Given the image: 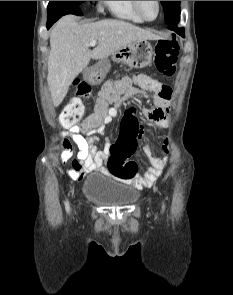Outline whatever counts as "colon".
Instances as JSON below:
<instances>
[{"mask_svg": "<svg viewBox=\"0 0 233 295\" xmlns=\"http://www.w3.org/2000/svg\"><path fill=\"white\" fill-rule=\"evenodd\" d=\"M154 66L165 76H172L176 71L179 44L173 35L161 39L155 44ZM136 86H135V85ZM140 90L152 92L162 98L170 99L172 88L150 77L139 76L135 80L123 79L106 83L100 91L99 99L93 113L83 121L85 130H92L101 125L106 113L108 102L115 101L122 93H137ZM77 96L72 98L62 111L61 119L67 125L78 122L84 114L83 100L91 96V86L85 81H76ZM141 130L135 116L127 112L122 119L120 136L111 147L107 163L108 171L116 178L129 180L136 176L138 166L129 158L136 153L137 141Z\"/></svg>", "mask_w": 233, "mask_h": 295, "instance_id": "obj_1", "label": "colon"}]
</instances>
